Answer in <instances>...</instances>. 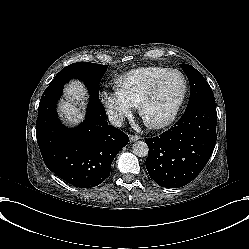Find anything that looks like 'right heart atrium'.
Here are the masks:
<instances>
[{"instance_id":"d8ad5b80","label":"right heart atrium","mask_w":249,"mask_h":249,"mask_svg":"<svg viewBox=\"0 0 249 249\" xmlns=\"http://www.w3.org/2000/svg\"><path fill=\"white\" fill-rule=\"evenodd\" d=\"M107 108L108 113L113 116L115 120L129 116L132 110V106L118 94L111 95L107 98Z\"/></svg>"}]
</instances>
